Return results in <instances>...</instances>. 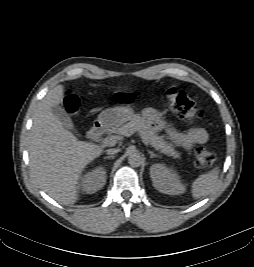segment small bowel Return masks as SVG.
<instances>
[{
  "mask_svg": "<svg viewBox=\"0 0 254 267\" xmlns=\"http://www.w3.org/2000/svg\"><path fill=\"white\" fill-rule=\"evenodd\" d=\"M143 115L156 130L164 131L169 140L185 149H190L194 145L204 144L208 141L209 135L201 127H193L181 132L168 125L162 119L160 113L153 108H146L143 111Z\"/></svg>",
  "mask_w": 254,
  "mask_h": 267,
  "instance_id": "1",
  "label": "small bowel"
}]
</instances>
